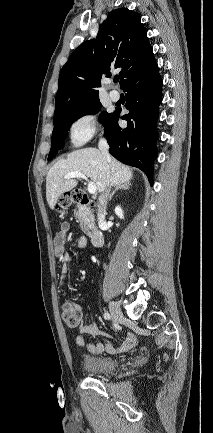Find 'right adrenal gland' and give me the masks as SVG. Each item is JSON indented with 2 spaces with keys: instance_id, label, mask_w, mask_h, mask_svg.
Segmentation results:
<instances>
[{
  "instance_id": "2a0ac1e0",
  "label": "right adrenal gland",
  "mask_w": 213,
  "mask_h": 433,
  "mask_svg": "<svg viewBox=\"0 0 213 433\" xmlns=\"http://www.w3.org/2000/svg\"><path fill=\"white\" fill-rule=\"evenodd\" d=\"M129 188H130V183H124V184H120V185H118V186L115 188V190L110 194V196H109V198H108V201L112 200L113 196L115 195V193H116L118 190H127V189H129Z\"/></svg>"
}]
</instances>
